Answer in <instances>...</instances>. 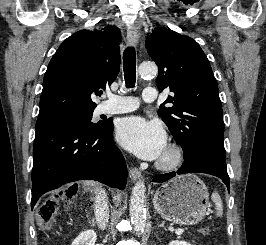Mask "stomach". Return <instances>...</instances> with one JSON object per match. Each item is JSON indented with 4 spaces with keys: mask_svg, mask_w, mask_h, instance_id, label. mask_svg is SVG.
Masks as SVG:
<instances>
[{
    "mask_svg": "<svg viewBox=\"0 0 266 245\" xmlns=\"http://www.w3.org/2000/svg\"><path fill=\"white\" fill-rule=\"evenodd\" d=\"M154 207L167 221L177 225H196L205 217L209 203L208 189L196 175H180L156 191Z\"/></svg>",
    "mask_w": 266,
    "mask_h": 245,
    "instance_id": "obj_1",
    "label": "stomach"
}]
</instances>
